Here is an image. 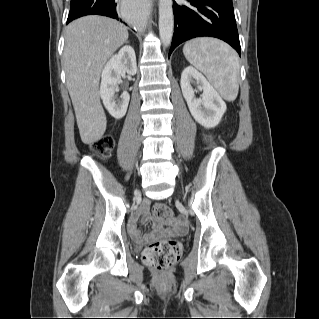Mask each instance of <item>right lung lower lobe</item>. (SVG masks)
<instances>
[{"label":"right lung lower lobe","instance_id":"obj_1","mask_svg":"<svg viewBox=\"0 0 319 319\" xmlns=\"http://www.w3.org/2000/svg\"><path fill=\"white\" fill-rule=\"evenodd\" d=\"M117 1L118 0H76L70 5L67 24L74 19L86 15H102L120 20L116 10Z\"/></svg>","mask_w":319,"mask_h":319}]
</instances>
